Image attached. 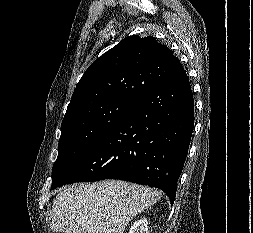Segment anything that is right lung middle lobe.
I'll return each mask as SVG.
<instances>
[{"instance_id":"1","label":"right lung middle lobe","mask_w":253,"mask_h":233,"mask_svg":"<svg viewBox=\"0 0 253 233\" xmlns=\"http://www.w3.org/2000/svg\"><path fill=\"white\" fill-rule=\"evenodd\" d=\"M135 100L110 98L81 106L64 116L52 183L102 141L125 116Z\"/></svg>"}]
</instances>
